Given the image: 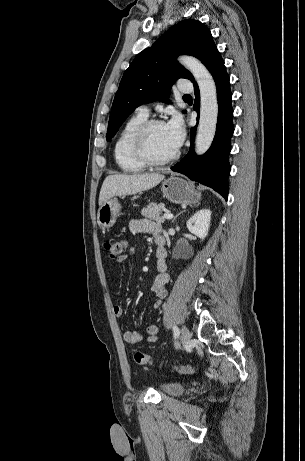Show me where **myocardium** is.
<instances>
[{"instance_id": "obj_1", "label": "myocardium", "mask_w": 305, "mask_h": 461, "mask_svg": "<svg viewBox=\"0 0 305 461\" xmlns=\"http://www.w3.org/2000/svg\"><path fill=\"white\" fill-rule=\"evenodd\" d=\"M158 125H165L164 121L160 119H149L140 125V127L135 132L132 142H131V151L136 160L142 163L145 166L149 167H159L167 165L175 161L179 155V150H176L171 156L157 160L152 158L147 150V141L150 131Z\"/></svg>"}]
</instances>
